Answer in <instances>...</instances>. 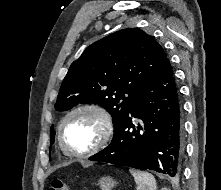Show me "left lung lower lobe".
I'll use <instances>...</instances> for the list:
<instances>
[{
	"mask_svg": "<svg viewBox=\"0 0 221 190\" xmlns=\"http://www.w3.org/2000/svg\"><path fill=\"white\" fill-rule=\"evenodd\" d=\"M181 118L178 89L167 58L114 126L110 145L89 160L177 177L184 153Z\"/></svg>",
	"mask_w": 221,
	"mask_h": 190,
	"instance_id": "obj_1",
	"label": "left lung lower lobe"
}]
</instances>
